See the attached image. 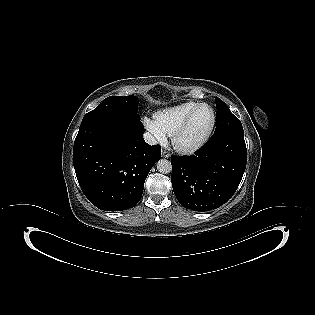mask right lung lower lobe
<instances>
[{"instance_id":"right-lung-lower-lobe-1","label":"right lung lower lobe","mask_w":315,"mask_h":315,"mask_svg":"<svg viewBox=\"0 0 315 315\" xmlns=\"http://www.w3.org/2000/svg\"><path fill=\"white\" fill-rule=\"evenodd\" d=\"M143 133L139 115L96 108L84 116L73 164L83 193L97 208L126 210L141 199L144 181L161 158V147L147 144Z\"/></svg>"}]
</instances>
